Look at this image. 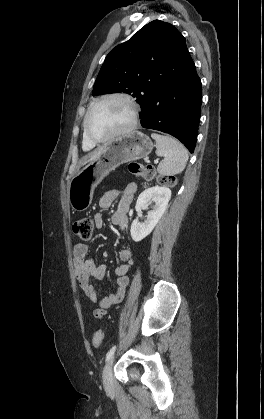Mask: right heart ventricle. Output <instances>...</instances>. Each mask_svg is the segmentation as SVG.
Instances as JSON below:
<instances>
[{"label": "right heart ventricle", "mask_w": 264, "mask_h": 419, "mask_svg": "<svg viewBox=\"0 0 264 419\" xmlns=\"http://www.w3.org/2000/svg\"><path fill=\"white\" fill-rule=\"evenodd\" d=\"M95 146V144L89 142L87 140V138L85 137V135L83 134V141H82V147L85 151H89L91 149H93Z\"/></svg>", "instance_id": "1"}]
</instances>
